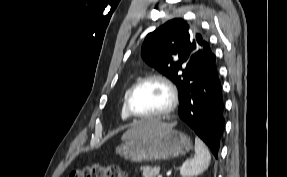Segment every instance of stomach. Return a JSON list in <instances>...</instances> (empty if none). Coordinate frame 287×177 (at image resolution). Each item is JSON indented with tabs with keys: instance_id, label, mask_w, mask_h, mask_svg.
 Masks as SVG:
<instances>
[{
	"instance_id": "0dacf381",
	"label": "stomach",
	"mask_w": 287,
	"mask_h": 177,
	"mask_svg": "<svg viewBox=\"0 0 287 177\" xmlns=\"http://www.w3.org/2000/svg\"><path fill=\"white\" fill-rule=\"evenodd\" d=\"M192 149L188 135L171 128H163L123 140L116 153L132 162L170 160Z\"/></svg>"
}]
</instances>
